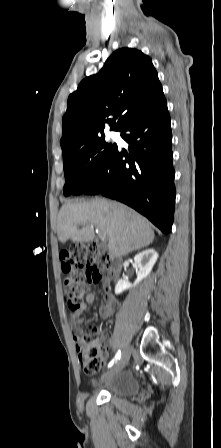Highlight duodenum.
Returning <instances> with one entry per match:
<instances>
[{
  "label": "duodenum",
  "instance_id": "duodenum-1",
  "mask_svg": "<svg viewBox=\"0 0 221 448\" xmlns=\"http://www.w3.org/2000/svg\"><path fill=\"white\" fill-rule=\"evenodd\" d=\"M122 262L120 258L115 256L114 254L111 255L110 261L108 264V272L110 278H114L121 270Z\"/></svg>",
  "mask_w": 221,
  "mask_h": 448
}]
</instances>
